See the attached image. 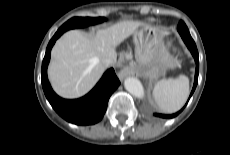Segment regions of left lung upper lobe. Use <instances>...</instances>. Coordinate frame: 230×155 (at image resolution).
I'll list each match as a JSON object with an SVG mask.
<instances>
[{
  "label": "left lung upper lobe",
  "instance_id": "obj_1",
  "mask_svg": "<svg viewBox=\"0 0 230 155\" xmlns=\"http://www.w3.org/2000/svg\"><path fill=\"white\" fill-rule=\"evenodd\" d=\"M177 29H178V32L181 35L182 39L184 37L192 38L190 33H189L187 26L185 25V23L183 21H180Z\"/></svg>",
  "mask_w": 230,
  "mask_h": 155
}]
</instances>
